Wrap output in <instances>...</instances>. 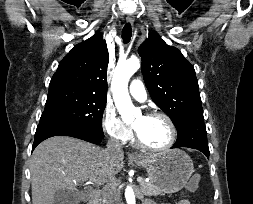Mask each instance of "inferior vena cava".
Segmentation results:
<instances>
[{
    "instance_id": "inferior-vena-cava-1",
    "label": "inferior vena cava",
    "mask_w": 253,
    "mask_h": 204,
    "mask_svg": "<svg viewBox=\"0 0 253 204\" xmlns=\"http://www.w3.org/2000/svg\"><path fill=\"white\" fill-rule=\"evenodd\" d=\"M107 150L111 153H121L122 144L115 138L109 139ZM104 204H119V193L116 191L115 177L109 180V183L103 187Z\"/></svg>"
}]
</instances>
